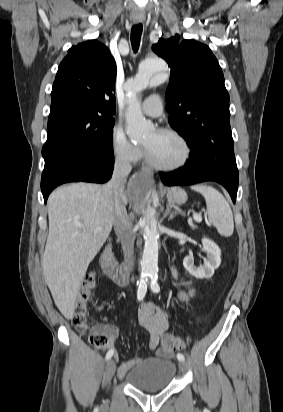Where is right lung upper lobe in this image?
<instances>
[{
    "label": "right lung upper lobe",
    "instance_id": "right-lung-upper-lobe-1",
    "mask_svg": "<svg viewBox=\"0 0 283 412\" xmlns=\"http://www.w3.org/2000/svg\"><path fill=\"white\" fill-rule=\"evenodd\" d=\"M60 63L51 92L50 115L93 110L106 118L116 111V63L106 46L90 40L71 47Z\"/></svg>",
    "mask_w": 283,
    "mask_h": 412
}]
</instances>
